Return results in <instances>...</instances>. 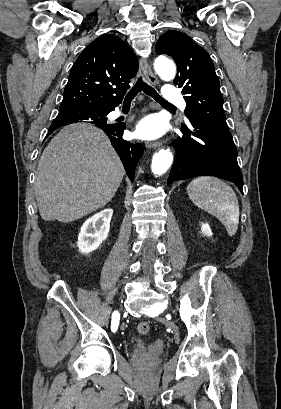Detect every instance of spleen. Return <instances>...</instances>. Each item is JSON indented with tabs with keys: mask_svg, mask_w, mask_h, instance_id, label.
<instances>
[{
	"mask_svg": "<svg viewBox=\"0 0 281 409\" xmlns=\"http://www.w3.org/2000/svg\"><path fill=\"white\" fill-rule=\"evenodd\" d=\"M186 190L196 207H200L221 221L229 237L237 233L239 202L229 184L215 176H198L189 182Z\"/></svg>",
	"mask_w": 281,
	"mask_h": 409,
	"instance_id": "3e777b00",
	"label": "spleen"
}]
</instances>
